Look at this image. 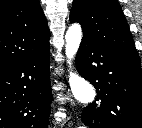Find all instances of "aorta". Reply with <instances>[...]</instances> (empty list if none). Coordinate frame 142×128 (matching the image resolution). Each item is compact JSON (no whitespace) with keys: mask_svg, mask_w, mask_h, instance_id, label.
<instances>
[{"mask_svg":"<svg viewBox=\"0 0 142 128\" xmlns=\"http://www.w3.org/2000/svg\"><path fill=\"white\" fill-rule=\"evenodd\" d=\"M65 40V55L68 59L67 63L71 67V60L75 57L82 40V29L78 23L69 27L65 34ZM69 85L73 96L80 103L90 104L94 101L95 90L93 86L78 74L70 72Z\"/></svg>","mask_w":142,"mask_h":128,"instance_id":"aorta-1","label":"aorta"}]
</instances>
